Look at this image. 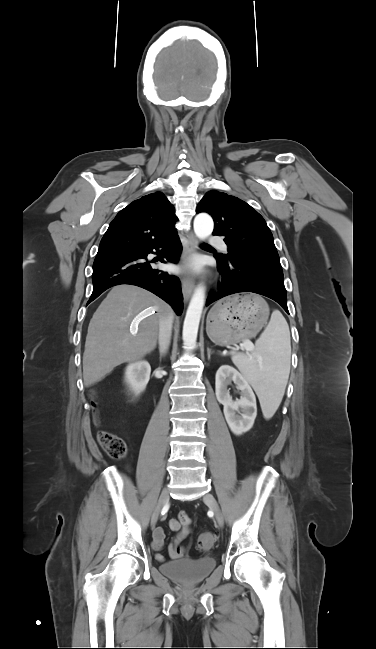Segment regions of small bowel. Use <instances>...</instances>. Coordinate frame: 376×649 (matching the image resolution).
Listing matches in <instances>:
<instances>
[{
  "mask_svg": "<svg viewBox=\"0 0 376 649\" xmlns=\"http://www.w3.org/2000/svg\"><path fill=\"white\" fill-rule=\"evenodd\" d=\"M192 524V519L188 516L187 513L181 511L177 518L171 519L169 521V528L175 533V536L172 538V541L169 545V554L172 558H181L186 555V550L179 547V543L190 534V527ZM164 530L161 527H157L153 531V548L156 551L161 550L164 545ZM156 558L159 561H163L164 557L160 553L156 554Z\"/></svg>",
  "mask_w": 376,
  "mask_h": 649,
  "instance_id": "obj_1",
  "label": "small bowel"
}]
</instances>
